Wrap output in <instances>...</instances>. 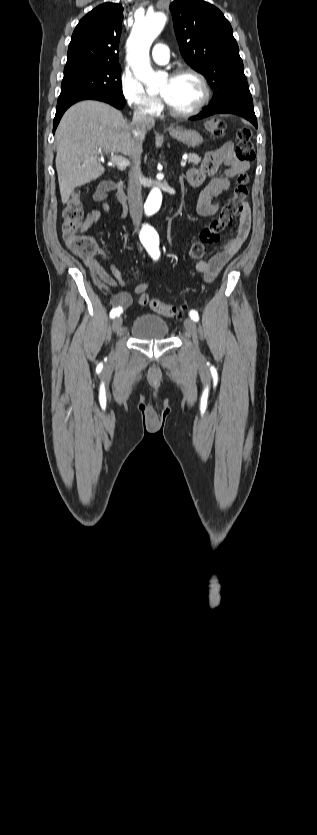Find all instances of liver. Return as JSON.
Masks as SVG:
<instances>
[{
  "label": "liver",
  "instance_id": "obj_1",
  "mask_svg": "<svg viewBox=\"0 0 317 835\" xmlns=\"http://www.w3.org/2000/svg\"><path fill=\"white\" fill-rule=\"evenodd\" d=\"M133 125L122 113L106 103L86 100L71 106L55 134L56 169L62 203L75 187L99 178L105 171L97 150L131 156L142 142L132 139Z\"/></svg>",
  "mask_w": 317,
  "mask_h": 835
}]
</instances>
